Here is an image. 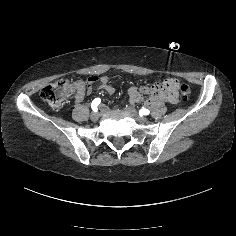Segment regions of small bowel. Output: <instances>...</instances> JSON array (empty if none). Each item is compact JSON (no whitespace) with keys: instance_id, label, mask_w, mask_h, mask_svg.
<instances>
[{"instance_id":"obj_1","label":"small bowel","mask_w":236,"mask_h":236,"mask_svg":"<svg viewBox=\"0 0 236 236\" xmlns=\"http://www.w3.org/2000/svg\"><path fill=\"white\" fill-rule=\"evenodd\" d=\"M95 83H99V87L106 90L108 93L114 92V88L108 84V78L106 76L100 78L91 77L86 83L77 82L79 90L76 94V101L80 102L83 99L85 93H91ZM171 84L175 85V81H171ZM129 95L134 102L140 100L139 90L137 88H130Z\"/></svg>"}]
</instances>
